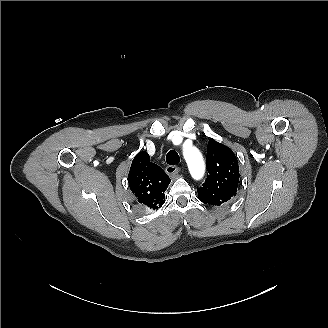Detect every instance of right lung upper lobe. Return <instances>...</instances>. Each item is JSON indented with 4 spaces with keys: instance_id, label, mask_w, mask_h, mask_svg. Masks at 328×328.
<instances>
[{
    "instance_id": "cb5924a9",
    "label": "right lung upper lobe",
    "mask_w": 328,
    "mask_h": 328,
    "mask_svg": "<svg viewBox=\"0 0 328 328\" xmlns=\"http://www.w3.org/2000/svg\"><path fill=\"white\" fill-rule=\"evenodd\" d=\"M128 183L138 205L145 210H155L165 202L164 192L170 178L158 165L150 162L148 153L140 152L131 164Z\"/></svg>"
}]
</instances>
